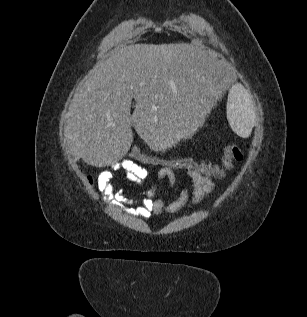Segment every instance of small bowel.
I'll list each match as a JSON object with an SVG mask.
<instances>
[{
  "mask_svg": "<svg viewBox=\"0 0 307 317\" xmlns=\"http://www.w3.org/2000/svg\"><path fill=\"white\" fill-rule=\"evenodd\" d=\"M120 170L125 178L136 185L140 190L141 198L131 200L121 193L113 195L112 179L114 172ZM149 170L137 163L122 159L105 167L97 177V188L104 195L106 200L115 203L116 201L135 204L134 214L143 218H150L152 215L175 214L180 211L198 205L214 187L212 179L196 171H187V177L192 184V191L188 185L184 186L179 196L169 202H165V197L154 199L157 193V183L145 187V182L149 177ZM157 181L167 180L169 184L168 193L176 184V173L168 168H161L156 175Z\"/></svg>",
  "mask_w": 307,
  "mask_h": 317,
  "instance_id": "small-bowel-1",
  "label": "small bowel"
}]
</instances>
